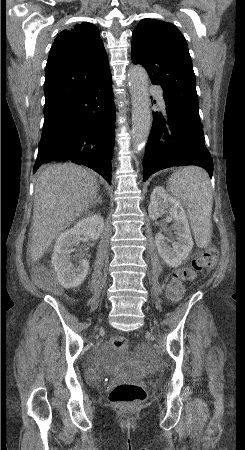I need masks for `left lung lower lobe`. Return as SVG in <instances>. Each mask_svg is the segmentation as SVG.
<instances>
[{
    "instance_id": "left-lung-lower-lobe-1",
    "label": "left lung lower lobe",
    "mask_w": 245,
    "mask_h": 450,
    "mask_svg": "<svg viewBox=\"0 0 245 450\" xmlns=\"http://www.w3.org/2000/svg\"><path fill=\"white\" fill-rule=\"evenodd\" d=\"M163 98L167 115L153 112L144 157L143 181L159 170L190 164L203 167L212 177L213 162L205 147L200 119L189 108L164 93Z\"/></svg>"
}]
</instances>
